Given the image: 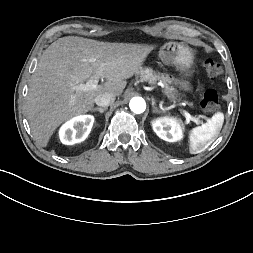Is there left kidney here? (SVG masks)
Instances as JSON below:
<instances>
[{
  "label": "left kidney",
  "instance_id": "left-kidney-1",
  "mask_svg": "<svg viewBox=\"0 0 253 253\" xmlns=\"http://www.w3.org/2000/svg\"><path fill=\"white\" fill-rule=\"evenodd\" d=\"M152 128L157 136L168 142L182 138V127L174 118L161 117L152 121Z\"/></svg>",
  "mask_w": 253,
  "mask_h": 253
}]
</instances>
